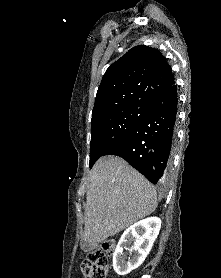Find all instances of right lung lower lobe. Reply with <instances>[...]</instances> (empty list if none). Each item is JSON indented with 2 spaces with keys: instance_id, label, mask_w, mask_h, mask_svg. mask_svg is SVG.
<instances>
[{
  "instance_id": "1",
  "label": "right lung lower lobe",
  "mask_w": 221,
  "mask_h": 278,
  "mask_svg": "<svg viewBox=\"0 0 221 278\" xmlns=\"http://www.w3.org/2000/svg\"><path fill=\"white\" fill-rule=\"evenodd\" d=\"M149 111L125 136L102 154L117 155L156 184L166 178L175 138L177 85L175 83L146 100Z\"/></svg>"
}]
</instances>
